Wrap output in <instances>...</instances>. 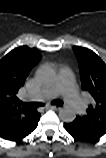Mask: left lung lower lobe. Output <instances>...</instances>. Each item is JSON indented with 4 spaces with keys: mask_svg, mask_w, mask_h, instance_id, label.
Wrapping results in <instances>:
<instances>
[{
    "mask_svg": "<svg viewBox=\"0 0 106 158\" xmlns=\"http://www.w3.org/2000/svg\"><path fill=\"white\" fill-rule=\"evenodd\" d=\"M66 130L74 137L76 138H81V139H85V140H89L91 139L89 136H87L86 134H84L76 125H74L73 123L70 124H64Z\"/></svg>",
    "mask_w": 106,
    "mask_h": 158,
    "instance_id": "0a47b994",
    "label": "left lung lower lobe"
}]
</instances>
